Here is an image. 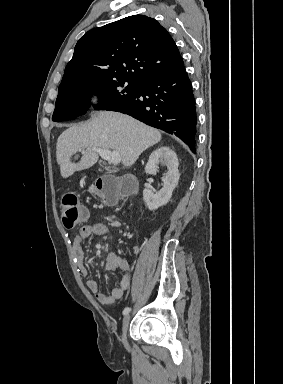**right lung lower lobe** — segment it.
I'll use <instances>...</instances> for the list:
<instances>
[{
	"label": "right lung lower lobe",
	"mask_w": 283,
	"mask_h": 384,
	"mask_svg": "<svg viewBox=\"0 0 283 384\" xmlns=\"http://www.w3.org/2000/svg\"><path fill=\"white\" fill-rule=\"evenodd\" d=\"M108 110L128 114L143 123L173 134L193 153L196 143V107L192 86L183 66L177 71L142 82L135 98Z\"/></svg>",
	"instance_id": "98d812e1"
}]
</instances>
